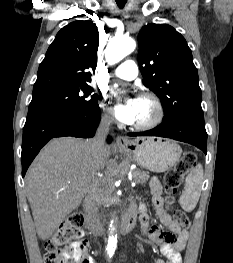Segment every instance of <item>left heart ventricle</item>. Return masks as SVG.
Returning a JSON list of instances; mask_svg holds the SVG:
<instances>
[{
    "label": "left heart ventricle",
    "mask_w": 233,
    "mask_h": 263,
    "mask_svg": "<svg viewBox=\"0 0 233 263\" xmlns=\"http://www.w3.org/2000/svg\"><path fill=\"white\" fill-rule=\"evenodd\" d=\"M154 114V108L148 100L140 99L139 111L136 123H141L149 120Z\"/></svg>",
    "instance_id": "left-heart-ventricle-1"
}]
</instances>
